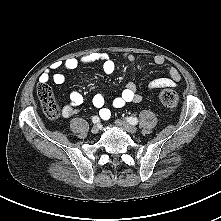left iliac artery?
<instances>
[{
    "instance_id": "obj_1",
    "label": "left iliac artery",
    "mask_w": 221,
    "mask_h": 221,
    "mask_svg": "<svg viewBox=\"0 0 221 221\" xmlns=\"http://www.w3.org/2000/svg\"><path fill=\"white\" fill-rule=\"evenodd\" d=\"M126 121L132 125H136L138 123V119L136 117H127Z\"/></svg>"
}]
</instances>
